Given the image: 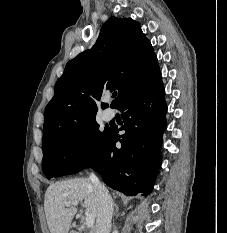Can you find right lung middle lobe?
Masks as SVG:
<instances>
[{"instance_id":"1","label":"right lung middle lobe","mask_w":227,"mask_h":233,"mask_svg":"<svg viewBox=\"0 0 227 233\" xmlns=\"http://www.w3.org/2000/svg\"><path fill=\"white\" fill-rule=\"evenodd\" d=\"M110 133L99 130L93 120L43 145V171L48 179L74 174L85 169L93 160Z\"/></svg>"}]
</instances>
